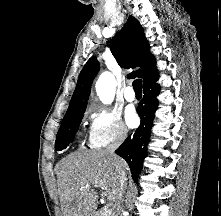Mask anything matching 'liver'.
<instances>
[{
  "label": "liver",
  "mask_w": 221,
  "mask_h": 216,
  "mask_svg": "<svg viewBox=\"0 0 221 216\" xmlns=\"http://www.w3.org/2000/svg\"><path fill=\"white\" fill-rule=\"evenodd\" d=\"M119 159L123 169H127L125 161ZM56 173L63 216H95L96 187L114 191L116 197L117 172L114 159L106 150L74 152L58 163Z\"/></svg>",
  "instance_id": "1"
}]
</instances>
